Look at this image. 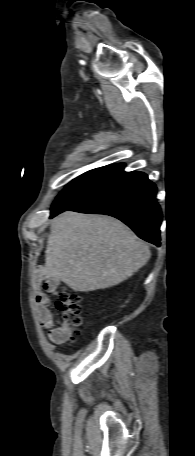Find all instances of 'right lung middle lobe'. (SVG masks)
Instances as JSON below:
<instances>
[{
    "label": "right lung middle lobe",
    "instance_id": "dd1d6c3e",
    "mask_svg": "<svg viewBox=\"0 0 195 456\" xmlns=\"http://www.w3.org/2000/svg\"><path fill=\"white\" fill-rule=\"evenodd\" d=\"M122 172V169L102 167L75 178L58 195L51 208V214H59L85 201L106 187Z\"/></svg>",
    "mask_w": 195,
    "mask_h": 456
}]
</instances>
